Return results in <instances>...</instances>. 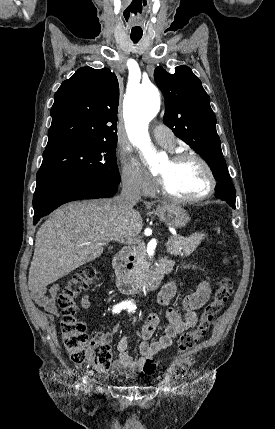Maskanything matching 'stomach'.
Segmentation results:
<instances>
[{"instance_id":"1","label":"stomach","mask_w":275,"mask_h":429,"mask_svg":"<svg viewBox=\"0 0 275 429\" xmlns=\"http://www.w3.org/2000/svg\"><path fill=\"white\" fill-rule=\"evenodd\" d=\"M159 219L172 228H182L187 225L189 216L180 206L175 204L161 205L156 209Z\"/></svg>"}]
</instances>
